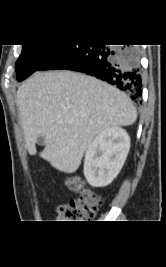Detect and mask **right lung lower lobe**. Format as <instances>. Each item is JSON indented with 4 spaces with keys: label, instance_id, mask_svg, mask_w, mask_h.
I'll list each match as a JSON object with an SVG mask.
<instances>
[{
    "label": "right lung lower lobe",
    "instance_id": "1",
    "mask_svg": "<svg viewBox=\"0 0 166 267\" xmlns=\"http://www.w3.org/2000/svg\"><path fill=\"white\" fill-rule=\"evenodd\" d=\"M66 69L101 79L141 102L142 78L134 46L61 45L37 71Z\"/></svg>",
    "mask_w": 166,
    "mask_h": 267
}]
</instances>
